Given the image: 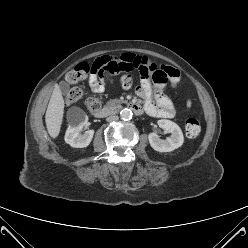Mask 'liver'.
Returning a JSON list of instances; mask_svg holds the SVG:
<instances>
[{"instance_id":"6515ba94","label":"liver","mask_w":248,"mask_h":248,"mask_svg":"<svg viewBox=\"0 0 248 248\" xmlns=\"http://www.w3.org/2000/svg\"><path fill=\"white\" fill-rule=\"evenodd\" d=\"M64 107L65 103L60 87L55 85L45 114L47 131L52 138H56L60 133Z\"/></svg>"}]
</instances>
